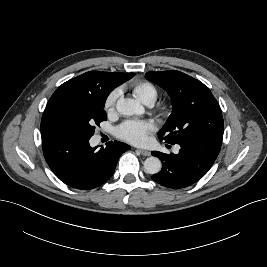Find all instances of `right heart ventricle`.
I'll return each mask as SVG.
<instances>
[{
    "instance_id": "obj_1",
    "label": "right heart ventricle",
    "mask_w": 267,
    "mask_h": 267,
    "mask_svg": "<svg viewBox=\"0 0 267 267\" xmlns=\"http://www.w3.org/2000/svg\"><path fill=\"white\" fill-rule=\"evenodd\" d=\"M131 89L136 98L146 105L154 104L158 97L157 88L148 81H138L131 85Z\"/></svg>"
}]
</instances>
